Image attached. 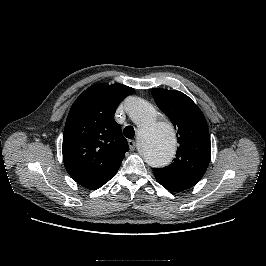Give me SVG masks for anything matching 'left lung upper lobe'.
Segmentation results:
<instances>
[{
  "instance_id": "1",
  "label": "left lung upper lobe",
  "mask_w": 266,
  "mask_h": 266,
  "mask_svg": "<svg viewBox=\"0 0 266 266\" xmlns=\"http://www.w3.org/2000/svg\"><path fill=\"white\" fill-rule=\"evenodd\" d=\"M154 100L178 130L176 158L164 168H153L156 180L174 191L194 186L207 170L211 156L209 129L198 106L184 93L156 88Z\"/></svg>"
}]
</instances>
